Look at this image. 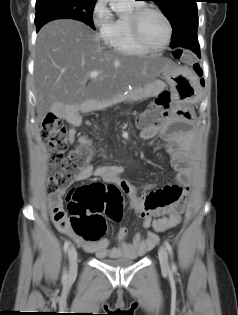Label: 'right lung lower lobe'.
<instances>
[{
  "label": "right lung lower lobe",
  "instance_id": "right-lung-lower-lobe-1",
  "mask_svg": "<svg viewBox=\"0 0 238 315\" xmlns=\"http://www.w3.org/2000/svg\"><path fill=\"white\" fill-rule=\"evenodd\" d=\"M43 25H44V24H41V25L36 26L37 31H39V30H40V28H41Z\"/></svg>",
  "mask_w": 238,
  "mask_h": 315
}]
</instances>
